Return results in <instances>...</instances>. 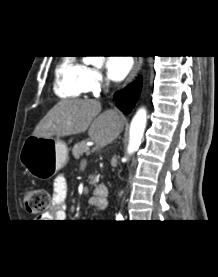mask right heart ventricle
Segmentation results:
<instances>
[{
  "instance_id": "1",
  "label": "right heart ventricle",
  "mask_w": 218,
  "mask_h": 277,
  "mask_svg": "<svg viewBox=\"0 0 218 277\" xmlns=\"http://www.w3.org/2000/svg\"><path fill=\"white\" fill-rule=\"evenodd\" d=\"M86 68L74 58L64 57L55 70V94L61 98H78L85 93Z\"/></svg>"
}]
</instances>
